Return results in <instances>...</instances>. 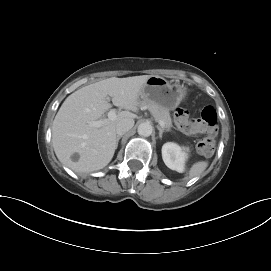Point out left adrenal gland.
Listing matches in <instances>:
<instances>
[{"mask_svg":"<svg viewBox=\"0 0 271 271\" xmlns=\"http://www.w3.org/2000/svg\"><path fill=\"white\" fill-rule=\"evenodd\" d=\"M157 129L159 130V138L162 139V135H163L164 129H162L159 126H157Z\"/></svg>","mask_w":271,"mask_h":271,"instance_id":"1","label":"left adrenal gland"}]
</instances>
